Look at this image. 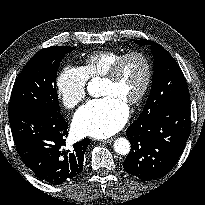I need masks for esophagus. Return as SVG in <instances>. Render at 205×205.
Here are the masks:
<instances>
[{
    "label": "esophagus",
    "instance_id": "esophagus-1",
    "mask_svg": "<svg viewBox=\"0 0 205 205\" xmlns=\"http://www.w3.org/2000/svg\"><path fill=\"white\" fill-rule=\"evenodd\" d=\"M113 140H114V138H108V139L102 140L101 142H103V143H110Z\"/></svg>",
    "mask_w": 205,
    "mask_h": 205
}]
</instances>
